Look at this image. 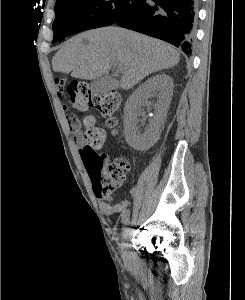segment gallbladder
<instances>
[{
    "label": "gallbladder",
    "mask_w": 245,
    "mask_h": 300,
    "mask_svg": "<svg viewBox=\"0 0 245 300\" xmlns=\"http://www.w3.org/2000/svg\"><path fill=\"white\" fill-rule=\"evenodd\" d=\"M117 87L118 81L108 75L100 76L94 79L90 84L91 91L94 94L106 93L109 90L116 89Z\"/></svg>",
    "instance_id": "obj_1"
}]
</instances>
